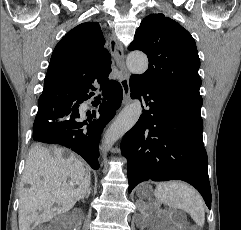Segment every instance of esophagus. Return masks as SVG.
Returning a JSON list of instances; mask_svg holds the SVG:
<instances>
[{"mask_svg":"<svg viewBox=\"0 0 241 230\" xmlns=\"http://www.w3.org/2000/svg\"><path fill=\"white\" fill-rule=\"evenodd\" d=\"M109 49L117 63V67L121 74L120 84L123 90V105H126L130 101V85H129L130 73L127 70L125 65V55L123 51V46L115 36H112L110 38Z\"/></svg>","mask_w":241,"mask_h":230,"instance_id":"1","label":"esophagus"}]
</instances>
